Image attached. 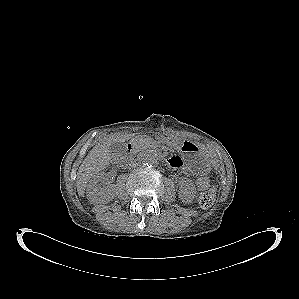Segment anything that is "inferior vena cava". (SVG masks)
I'll list each match as a JSON object with an SVG mask.
<instances>
[{"label": "inferior vena cava", "instance_id": "inferior-vena-cava-1", "mask_svg": "<svg viewBox=\"0 0 299 299\" xmlns=\"http://www.w3.org/2000/svg\"><path fill=\"white\" fill-rule=\"evenodd\" d=\"M138 165V163L136 162V161H130L129 162V166L130 167H135V166H137Z\"/></svg>", "mask_w": 299, "mask_h": 299}]
</instances>
